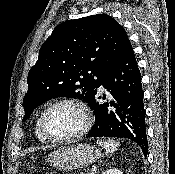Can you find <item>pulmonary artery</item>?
Wrapping results in <instances>:
<instances>
[{
  "label": "pulmonary artery",
  "instance_id": "e3ab8cb5",
  "mask_svg": "<svg viewBox=\"0 0 175 174\" xmlns=\"http://www.w3.org/2000/svg\"><path fill=\"white\" fill-rule=\"evenodd\" d=\"M100 90H103V86L100 87Z\"/></svg>",
  "mask_w": 175,
  "mask_h": 174
}]
</instances>
